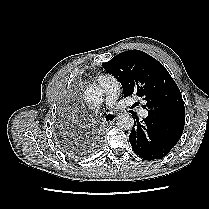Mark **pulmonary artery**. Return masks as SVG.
Wrapping results in <instances>:
<instances>
[{"mask_svg": "<svg viewBox=\"0 0 209 209\" xmlns=\"http://www.w3.org/2000/svg\"><path fill=\"white\" fill-rule=\"evenodd\" d=\"M98 83L103 88L106 94V105L111 106L114 101L118 98L120 93V85L117 79L109 74L101 75L98 77ZM140 116L146 118L148 112L146 109L140 111Z\"/></svg>", "mask_w": 209, "mask_h": 209, "instance_id": "e3ab8cb5", "label": "pulmonary artery"}]
</instances>
